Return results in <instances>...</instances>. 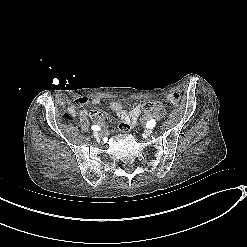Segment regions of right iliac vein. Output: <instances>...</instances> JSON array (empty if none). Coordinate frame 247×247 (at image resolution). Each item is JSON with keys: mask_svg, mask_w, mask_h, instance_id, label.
<instances>
[{"mask_svg": "<svg viewBox=\"0 0 247 247\" xmlns=\"http://www.w3.org/2000/svg\"><path fill=\"white\" fill-rule=\"evenodd\" d=\"M93 136H94L95 138H97V139H98V138H99V133L94 132V133H93Z\"/></svg>", "mask_w": 247, "mask_h": 247, "instance_id": "obj_1", "label": "right iliac vein"}]
</instances>
